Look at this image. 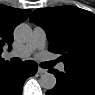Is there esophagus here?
<instances>
[{"instance_id": "34e87169", "label": "esophagus", "mask_w": 95, "mask_h": 95, "mask_svg": "<svg viewBox=\"0 0 95 95\" xmlns=\"http://www.w3.org/2000/svg\"><path fill=\"white\" fill-rule=\"evenodd\" d=\"M38 73H39V74H45V73H47V70H46V69H43V68H41V67H39V68H38Z\"/></svg>"}]
</instances>
